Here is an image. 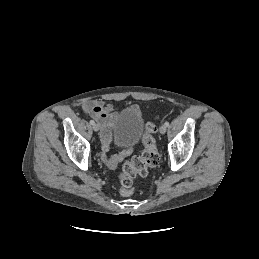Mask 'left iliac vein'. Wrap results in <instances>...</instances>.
Masks as SVG:
<instances>
[{
  "label": "left iliac vein",
  "mask_w": 259,
  "mask_h": 259,
  "mask_svg": "<svg viewBox=\"0 0 259 259\" xmlns=\"http://www.w3.org/2000/svg\"><path fill=\"white\" fill-rule=\"evenodd\" d=\"M167 130V127L165 125L160 126L159 131L161 134H165Z\"/></svg>",
  "instance_id": "1"
}]
</instances>
